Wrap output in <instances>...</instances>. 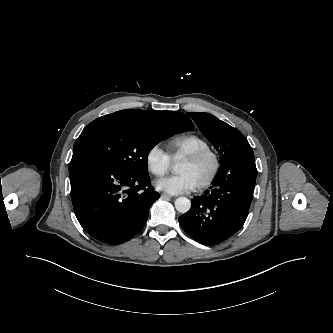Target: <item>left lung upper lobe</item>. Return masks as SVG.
<instances>
[{"instance_id": "obj_1", "label": "left lung upper lobe", "mask_w": 333, "mask_h": 333, "mask_svg": "<svg viewBox=\"0 0 333 333\" xmlns=\"http://www.w3.org/2000/svg\"><path fill=\"white\" fill-rule=\"evenodd\" d=\"M204 136L221 153L220 163L239 149L250 146L245 136L229 124L208 113H187Z\"/></svg>"}]
</instances>
